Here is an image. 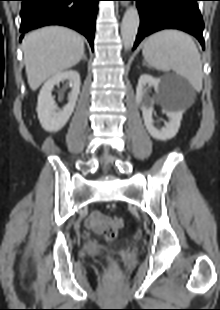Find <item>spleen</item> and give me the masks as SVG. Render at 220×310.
<instances>
[{
  "label": "spleen",
  "mask_w": 220,
  "mask_h": 310,
  "mask_svg": "<svg viewBox=\"0 0 220 310\" xmlns=\"http://www.w3.org/2000/svg\"><path fill=\"white\" fill-rule=\"evenodd\" d=\"M143 56L157 70H173L185 77L196 91L202 89V62L193 39L178 30H163L145 41Z\"/></svg>",
  "instance_id": "1"
}]
</instances>
